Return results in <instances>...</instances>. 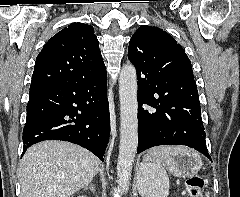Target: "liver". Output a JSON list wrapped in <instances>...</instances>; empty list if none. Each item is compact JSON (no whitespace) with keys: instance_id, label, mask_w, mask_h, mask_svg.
Listing matches in <instances>:
<instances>
[{"instance_id":"6515ba94","label":"liver","mask_w":240,"mask_h":197,"mask_svg":"<svg viewBox=\"0 0 240 197\" xmlns=\"http://www.w3.org/2000/svg\"><path fill=\"white\" fill-rule=\"evenodd\" d=\"M99 165L93 153L76 144L39 142L20 161V197H70L93 180Z\"/></svg>"}]
</instances>
